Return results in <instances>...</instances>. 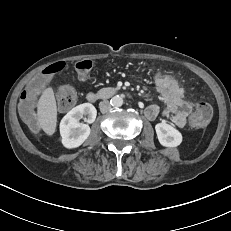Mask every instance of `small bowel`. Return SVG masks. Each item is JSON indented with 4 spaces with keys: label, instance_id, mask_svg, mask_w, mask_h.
Segmentation results:
<instances>
[{
    "label": "small bowel",
    "instance_id": "c3829d8e",
    "mask_svg": "<svg viewBox=\"0 0 231 231\" xmlns=\"http://www.w3.org/2000/svg\"><path fill=\"white\" fill-rule=\"evenodd\" d=\"M156 90L161 95L165 103V108L161 111L156 104H151L145 109V116L149 120H155L160 114L176 127H184L187 118L191 113V105L184 99V92L169 83H162L154 80Z\"/></svg>",
    "mask_w": 231,
    "mask_h": 231
}]
</instances>
